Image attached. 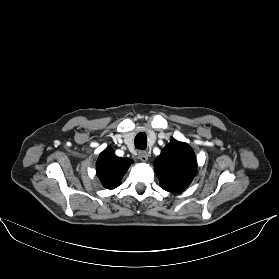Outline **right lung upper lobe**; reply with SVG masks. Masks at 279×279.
I'll list each match as a JSON object with an SVG mask.
<instances>
[{
    "instance_id": "cb5924a9",
    "label": "right lung upper lobe",
    "mask_w": 279,
    "mask_h": 279,
    "mask_svg": "<svg viewBox=\"0 0 279 279\" xmlns=\"http://www.w3.org/2000/svg\"><path fill=\"white\" fill-rule=\"evenodd\" d=\"M129 158H120L112 148H106L98 157L96 163L97 176L107 189L120 185L121 179L131 165Z\"/></svg>"
}]
</instances>
